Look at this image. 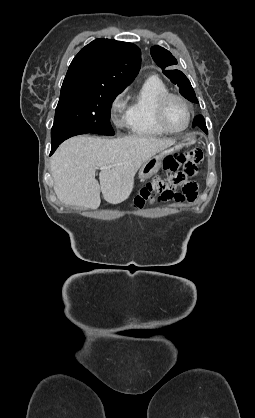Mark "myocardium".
I'll return each mask as SVG.
<instances>
[{
    "label": "myocardium",
    "instance_id": "obj_1",
    "mask_svg": "<svg viewBox=\"0 0 255 418\" xmlns=\"http://www.w3.org/2000/svg\"><path fill=\"white\" fill-rule=\"evenodd\" d=\"M171 99H176V100L180 101L185 106V108L187 110V122H186L185 126L181 129H172L166 123V119H165L166 107H167L168 102ZM155 115H156V121H157L158 125L163 130H165L167 133L177 134V133L184 132L189 127V125L191 124V121H192V107H191L190 103L183 96H181L179 94H176V93L167 92V93L163 94L158 99L157 104H156Z\"/></svg>",
    "mask_w": 255,
    "mask_h": 418
}]
</instances>
